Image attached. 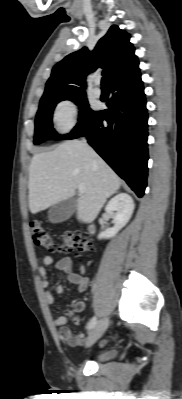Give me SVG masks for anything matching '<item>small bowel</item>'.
<instances>
[{
  "mask_svg": "<svg viewBox=\"0 0 182 399\" xmlns=\"http://www.w3.org/2000/svg\"><path fill=\"white\" fill-rule=\"evenodd\" d=\"M54 263V258L50 255H46L43 258V266L39 268V273L42 277V286L45 288V301L48 305H53L55 302L54 294H62L64 287L62 285L50 286V281L47 277L46 267L51 266ZM79 271L74 272L72 268V261L68 257L60 259L56 263V268L63 270L66 273L67 280L73 284L78 292H83L87 289L88 280L85 276V265L81 261H77ZM84 308V303L78 302L74 305L76 311H81ZM53 324L60 328V336L65 340L69 346H78L85 340L83 333L73 334L71 330L66 326L67 318L65 316H59L53 320Z\"/></svg>",
  "mask_w": 182,
  "mask_h": 399,
  "instance_id": "obj_1",
  "label": "small bowel"
}]
</instances>
